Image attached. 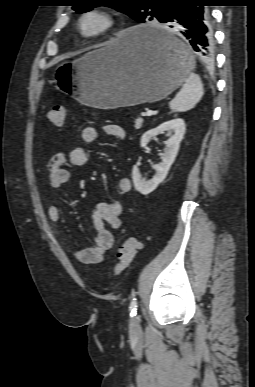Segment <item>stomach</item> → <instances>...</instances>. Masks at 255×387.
Masks as SVG:
<instances>
[{
	"label": "stomach",
	"instance_id": "stomach-1",
	"mask_svg": "<svg viewBox=\"0 0 255 387\" xmlns=\"http://www.w3.org/2000/svg\"><path fill=\"white\" fill-rule=\"evenodd\" d=\"M152 31L165 30L152 24L135 26L105 46L60 64L56 84L80 103L102 109L164 99L185 82L194 62L187 45L173 33L166 31L183 50L180 56L145 41L143 34Z\"/></svg>",
	"mask_w": 255,
	"mask_h": 387
}]
</instances>
